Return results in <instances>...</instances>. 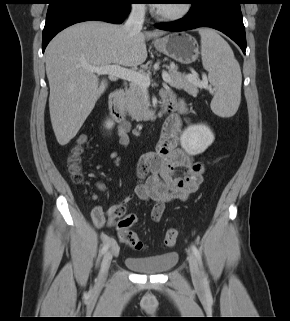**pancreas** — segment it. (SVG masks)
Returning <instances> with one entry per match:
<instances>
[{"instance_id": "1", "label": "pancreas", "mask_w": 290, "mask_h": 321, "mask_svg": "<svg viewBox=\"0 0 290 321\" xmlns=\"http://www.w3.org/2000/svg\"><path fill=\"white\" fill-rule=\"evenodd\" d=\"M171 76L170 86L176 89H183L188 94L196 97L198 94V84L193 80H189L188 76L177 71V66L171 64L169 67ZM148 75L147 72H142ZM198 80V77H196ZM121 109L127 111L134 119H143L149 113V105L146 102L144 89L142 86L131 82L129 87L125 89L121 100Z\"/></svg>"}]
</instances>
